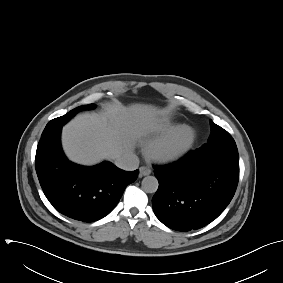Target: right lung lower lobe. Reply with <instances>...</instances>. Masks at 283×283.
<instances>
[{"mask_svg":"<svg viewBox=\"0 0 283 283\" xmlns=\"http://www.w3.org/2000/svg\"><path fill=\"white\" fill-rule=\"evenodd\" d=\"M62 126L43 132L35 166L43 192L61 214L94 222L109 214L125 188L137 179L138 170L126 172L110 162L94 167L67 160L60 144Z\"/></svg>","mask_w":283,"mask_h":283,"instance_id":"obj_1","label":"right lung lower lobe"}]
</instances>
